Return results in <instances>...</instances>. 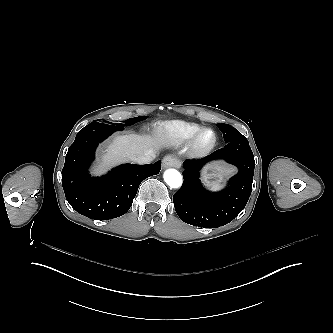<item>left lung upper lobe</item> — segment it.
Instances as JSON below:
<instances>
[{"label":"left lung upper lobe","instance_id":"left-lung-upper-lobe-1","mask_svg":"<svg viewBox=\"0 0 333 333\" xmlns=\"http://www.w3.org/2000/svg\"><path fill=\"white\" fill-rule=\"evenodd\" d=\"M217 126L222 131L225 142H228L231 139L239 137V136L242 135L241 133H239L231 125H228V124H217Z\"/></svg>","mask_w":333,"mask_h":333}]
</instances>
